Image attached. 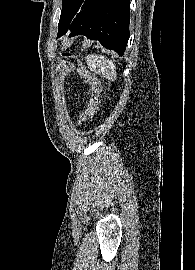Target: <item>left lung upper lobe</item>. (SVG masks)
I'll use <instances>...</instances> for the list:
<instances>
[{
  "label": "left lung upper lobe",
  "mask_w": 195,
  "mask_h": 270,
  "mask_svg": "<svg viewBox=\"0 0 195 270\" xmlns=\"http://www.w3.org/2000/svg\"><path fill=\"white\" fill-rule=\"evenodd\" d=\"M85 0H63L62 1V11L60 15V20L58 24V34L65 30L78 11L80 10L83 2Z\"/></svg>",
  "instance_id": "5c2ea615"
}]
</instances>
